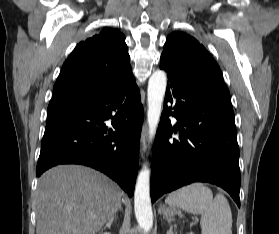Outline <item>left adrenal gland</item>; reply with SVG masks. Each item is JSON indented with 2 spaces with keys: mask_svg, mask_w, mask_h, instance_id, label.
Here are the masks:
<instances>
[{
  "mask_svg": "<svg viewBox=\"0 0 279 234\" xmlns=\"http://www.w3.org/2000/svg\"><path fill=\"white\" fill-rule=\"evenodd\" d=\"M167 234H174V232H173V226H172V225H170Z\"/></svg>",
  "mask_w": 279,
  "mask_h": 234,
  "instance_id": "a2214340",
  "label": "left adrenal gland"
}]
</instances>
